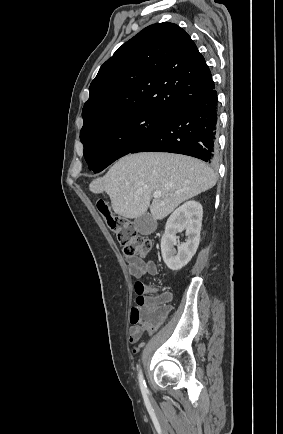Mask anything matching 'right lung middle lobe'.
Returning a JSON list of instances; mask_svg holds the SVG:
<instances>
[{
    "instance_id": "dd1d6c3e",
    "label": "right lung middle lobe",
    "mask_w": 283,
    "mask_h": 434,
    "mask_svg": "<svg viewBox=\"0 0 283 434\" xmlns=\"http://www.w3.org/2000/svg\"><path fill=\"white\" fill-rule=\"evenodd\" d=\"M169 114L140 110L123 113L80 132L84 157L90 170L102 171L130 153L141 141L159 128Z\"/></svg>"
}]
</instances>
